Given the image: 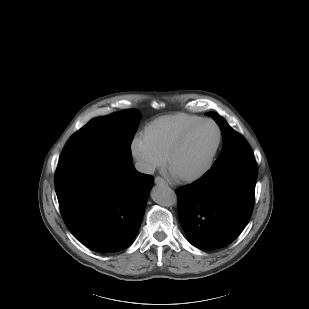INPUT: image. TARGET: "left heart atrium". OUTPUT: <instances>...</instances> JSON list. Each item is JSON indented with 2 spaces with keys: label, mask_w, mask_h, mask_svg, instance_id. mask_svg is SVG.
Here are the masks:
<instances>
[{
  "label": "left heart atrium",
  "mask_w": 309,
  "mask_h": 309,
  "mask_svg": "<svg viewBox=\"0 0 309 309\" xmlns=\"http://www.w3.org/2000/svg\"><path fill=\"white\" fill-rule=\"evenodd\" d=\"M169 173H170L172 176H176L170 169H169Z\"/></svg>",
  "instance_id": "left-heart-atrium-1"
}]
</instances>
